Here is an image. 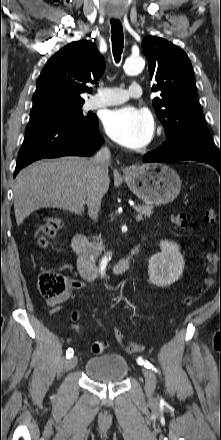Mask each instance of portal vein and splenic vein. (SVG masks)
<instances>
[{
  "label": "portal vein and splenic vein",
  "instance_id": "1",
  "mask_svg": "<svg viewBox=\"0 0 221 440\" xmlns=\"http://www.w3.org/2000/svg\"><path fill=\"white\" fill-rule=\"evenodd\" d=\"M142 219V215L141 214H138L137 216H136V221H140Z\"/></svg>",
  "mask_w": 221,
  "mask_h": 440
}]
</instances>
